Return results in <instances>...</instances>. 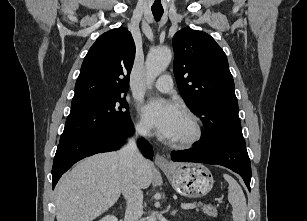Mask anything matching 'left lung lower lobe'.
<instances>
[{"instance_id":"obj_1","label":"left lung lower lobe","mask_w":307,"mask_h":221,"mask_svg":"<svg viewBox=\"0 0 307 221\" xmlns=\"http://www.w3.org/2000/svg\"><path fill=\"white\" fill-rule=\"evenodd\" d=\"M177 162L218 164L238 173L250 191L251 163L246 147L222 138L201 139L188 150L172 151Z\"/></svg>"}]
</instances>
